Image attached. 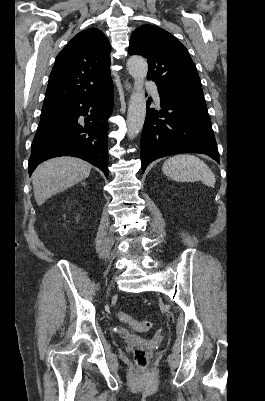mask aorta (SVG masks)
I'll return each mask as SVG.
<instances>
[{
  "label": "aorta",
  "instance_id": "aorta-1",
  "mask_svg": "<svg viewBox=\"0 0 265 401\" xmlns=\"http://www.w3.org/2000/svg\"><path fill=\"white\" fill-rule=\"evenodd\" d=\"M127 70L134 78L133 92L127 112V132L129 138H135L141 132L146 116V96L144 80L148 72V64L142 56H130Z\"/></svg>",
  "mask_w": 265,
  "mask_h": 401
}]
</instances>
